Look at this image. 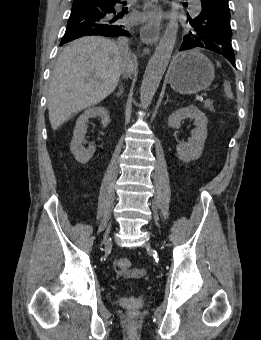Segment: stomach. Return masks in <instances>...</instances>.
<instances>
[{"label":"stomach","mask_w":261,"mask_h":340,"mask_svg":"<svg viewBox=\"0 0 261 340\" xmlns=\"http://www.w3.org/2000/svg\"><path fill=\"white\" fill-rule=\"evenodd\" d=\"M215 77L214 66L204 55L189 51L176 57L169 69V83L180 94H195L208 88Z\"/></svg>","instance_id":"obj_1"}]
</instances>
